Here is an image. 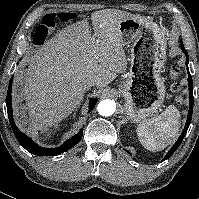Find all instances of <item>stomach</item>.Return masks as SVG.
<instances>
[{"label":"stomach","mask_w":199,"mask_h":199,"mask_svg":"<svg viewBox=\"0 0 199 199\" xmlns=\"http://www.w3.org/2000/svg\"><path fill=\"white\" fill-rule=\"evenodd\" d=\"M122 44L131 46L130 68L120 84L124 111L133 122H141L161 107L165 98L162 73L166 60L165 32L140 15H128L119 23Z\"/></svg>","instance_id":"obj_1"}]
</instances>
